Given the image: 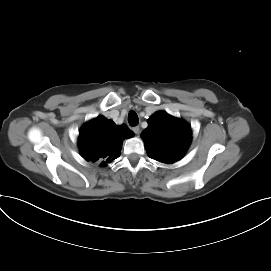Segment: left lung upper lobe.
Instances as JSON below:
<instances>
[{"mask_svg":"<svg viewBox=\"0 0 271 271\" xmlns=\"http://www.w3.org/2000/svg\"><path fill=\"white\" fill-rule=\"evenodd\" d=\"M148 156L163 163L179 160L191 142V127L181 119L160 111L148 119L141 133Z\"/></svg>","mask_w":271,"mask_h":271,"instance_id":"5c2ea615","label":"left lung upper lobe"}]
</instances>
